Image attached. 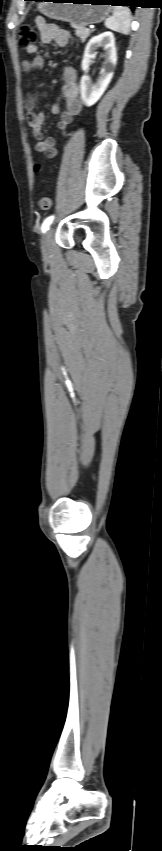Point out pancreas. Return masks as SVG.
Masks as SVG:
<instances>
[{"label": "pancreas", "instance_id": "pancreas-1", "mask_svg": "<svg viewBox=\"0 0 162 851\" xmlns=\"http://www.w3.org/2000/svg\"><path fill=\"white\" fill-rule=\"evenodd\" d=\"M71 26L75 29V34L80 38L82 42H85L86 39L90 36L92 31H87L85 27L76 26L71 24Z\"/></svg>", "mask_w": 162, "mask_h": 851}]
</instances>
